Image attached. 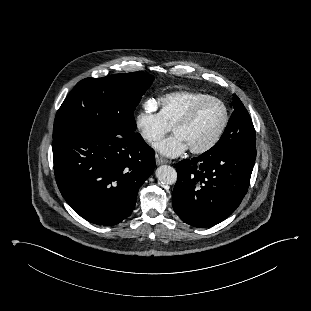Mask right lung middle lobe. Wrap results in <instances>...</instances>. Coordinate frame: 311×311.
I'll return each instance as SVG.
<instances>
[{"label": "right lung middle lobe", "mask_w": 311, "mask_h": 311, "mask_svg": "<svg viewBox=\"0 0 311 311\" xmlns=\"http://www.w3.org/2000/svg\"><path fill=\"white\" fill-rule=\"evenodd\" d=\"M153 80L138 72L81 80L56 114L53 139L72 134L135 135L133 112Z\"/></svg>", "instance_id": "dd1d6c3e"}]
</instances>
